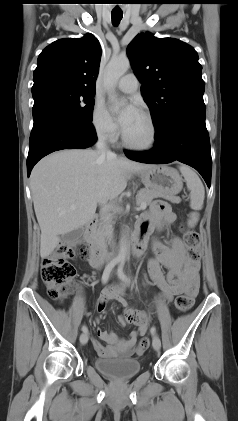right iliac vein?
Segmentation results:
<instances>
[{
	"label": "right iliac vein",
	"instance_id": "obj_1",
	"mask_svg": "<svg viewBox=\"0 0 238 421\" xmlns=\"http://www.w3.org/2000/svg\"><path fill=\"white\" fill-rule=\"evenodd\" d=\"M88 339H89V336L87 333L84 332L80 335L81 344L85 345L88 342Z\"/></svg>",
	"mask_w": 238,
	"mask_h": 421
}]
</instances>
